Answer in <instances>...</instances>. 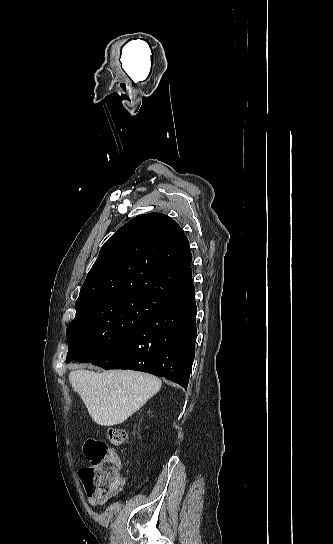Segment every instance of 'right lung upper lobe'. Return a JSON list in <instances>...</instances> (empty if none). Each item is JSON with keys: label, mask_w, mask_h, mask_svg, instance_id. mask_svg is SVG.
<instances>
[{"label": "right lung upper lobe", "mask_w": 333, "mask_h": 544, "mask_svg": "<svg viewBox=\"0 0 333 544\" xmlns=\"http://www.w3.org/2000/svg\"><path fill=\"white\" fill-rule=\"evenodd\" d=\"M191 261L188 239L172 218L139 215L102 246L76 303L124 294L169 301L195 289Z\"/></svg>", "instance_id": "right-lung-upper-lobe-1"}]
</instances>
